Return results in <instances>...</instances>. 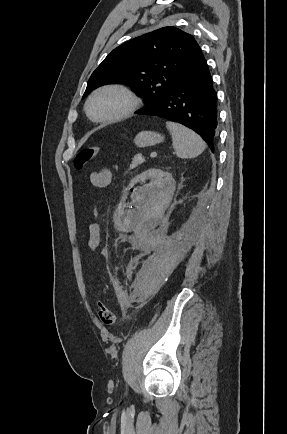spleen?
<instances>
[{
  "mask_svg": "<svg viewBox=\"0 0 287 434\" xmlns=\"http://www.w3.org/2000/svg\"><path fill=\"white\" fill-rule=\"evenodd\" d=\"M166 127L172 135L173 148L177 157L195 158L205 150L204 141L194 131L170 121L166 122Z\"/></svg>",
  "mask_w": 287,
  "mask_h": 434,
  "instance_id": "3e777b00",
  "label": "spleen"
}]
</instances>
